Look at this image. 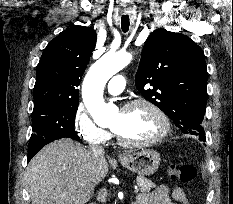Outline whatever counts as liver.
Returning a JSON list of instances; mask_svg holds the SVG:
<instances>
[{
	"instance_id": "1",
	"label": "liver",
	"mask_w": 233,
	"mask_h": 204,
	"mask_svg": "<svg viewBox=\"0 0 233 204\" xmlns=\"http://www.w3.org/2000/svg\"><path fill=\"white\" fill-rule=\"evenodd\" d=\"M108 173V162L95 158L72 139L47 144L27 167L32 204H86Z\"/></svg>"
}]
</instances>
